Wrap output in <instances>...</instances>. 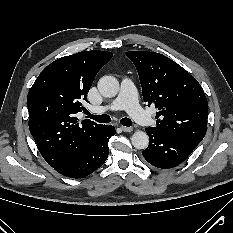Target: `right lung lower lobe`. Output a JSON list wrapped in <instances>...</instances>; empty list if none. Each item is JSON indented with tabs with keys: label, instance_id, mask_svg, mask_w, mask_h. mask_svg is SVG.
<instances>
[{
	"label": "right lung lower lobe",
	"instance_id": "98d812e1",
	"mask_svg": "<svg viewBox=\"0 0 233 233\" xmlns=\"http://www.w3.org/2000/svg\"><path fill=\"white\" fill-rule=\"evenodd\" d=\"M113 135H115V128L111 125L107 126L85 151L54 169L71 178L88 176L106 161L109 154L108 141Z\"/></svg>",
	"mask_w": 233,
	"mask_h": 233
}]
</instances>
